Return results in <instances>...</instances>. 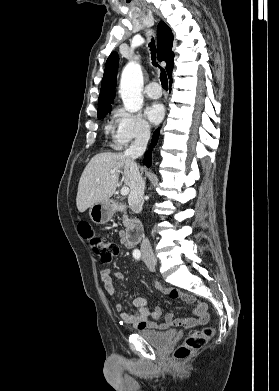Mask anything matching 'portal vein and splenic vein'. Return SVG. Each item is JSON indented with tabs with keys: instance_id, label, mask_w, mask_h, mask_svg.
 Listing matches in <instances>:
<instances>
[{
	"instance_id": "1",
	"label": "portal vein and splenic vein",
	"mask_w": 279,
	"mask_h": 391,
	"mask_svg": "<svg viewBox=\"0 0 279 391\" xmlns=\"http://www.w3.org/2000/svg\"><path fill=\"white\" fill-rule=\"evenodd\" d=\"M97 182L99 183V180H97ZM128 193H129V188L127 186H124L121 188V195L122 196H126Z\"/></svg>"
}]
</instances>
